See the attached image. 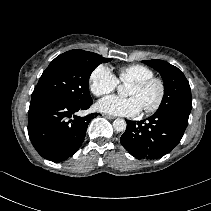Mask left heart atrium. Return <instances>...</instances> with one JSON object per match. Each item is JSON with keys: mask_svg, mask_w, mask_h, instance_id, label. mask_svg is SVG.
I'll return each mask as SVG.
<instances>
[{"mask_svg": "<svg viewBox=\"0 0 211 211\" xmlns=\"http://www.w3.org/2000/svg\"><path fill=\"white\" fill-rule=\"evenodd\" d=\"M97 109L118 116H135L142 107L135 97L109 96L97 103Z\"/></svg>", "mask_w": 211, "mask_h": 211, "instance_id": "obj_1", "label": "left heart atrium"}]
</instances>
